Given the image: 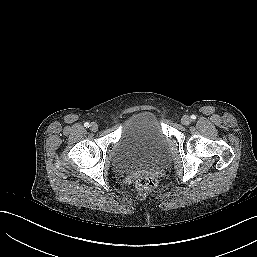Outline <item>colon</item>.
Returning <instances> with one entry per match:
<instances>
[{"label":"colon","instance_id":"colon-1","mask_svg":"<svg viewBox=\"0 0 257 257\" xmlns=\"http://www.w3.org/2000/svg\"><path fill=\"white\" fill-rule=\"evenodd\" d=\"M158 182L150 176H142L137 180L136 187L141 192H148L156 188Z\"/></svg>","mask_w":257,"mask_h":257}]
</instances>
